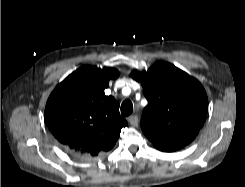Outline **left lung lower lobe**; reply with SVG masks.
<instances>
[{
	"instance_id": "left-lung-lower-lobe-1",
	"label": "left lung lower lobe",
	"mask_w": 245,
	"mask_h": 187,
	"mask_svg": "<svg viewBox=\"0 0 245 187\" xmlns=\"http://www.w3.org/2000/svg\"><path fill=\"white\" fill-rule=\"evenodd\" d=\"M184 146L180 145V146H172V147H166V148H162V149H159L163 152H173V151H176V150H179L181 148H183Z\"/></svg>"
}]
</instances>
